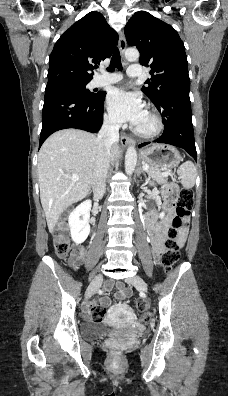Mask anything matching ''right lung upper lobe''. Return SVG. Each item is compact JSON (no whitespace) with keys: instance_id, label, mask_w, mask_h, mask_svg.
I'll list each match as a JSON object with an SVG mask.
<instances>
[{"instance_id":"right-lung-upper-lobe-1","label":"right lung upper lobe","mask_w":228,"mask_h":396,"mask_svg":"<svg viewBox=\"0 0 228 396\" xmlns=\"http://www.w3.org/2000/svg\"><path fill=\"white\" fill-rule=\"evenodd\" d=\"M117 33L104 16L92 11L75 22L56 42L49 58L46 88L67 82H90L93 66L112 55Z\"/></svg>"}]
</instances>
